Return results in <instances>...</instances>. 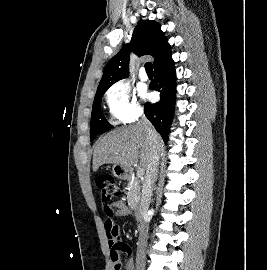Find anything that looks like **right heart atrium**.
I'll use <instances>...</instances> for the list:
<instances>
[{"label":"right heart atrium","instance_id":"1","mask_svg":"<svg viewBox=\"0 0 267 270\" xmlns=\"http://www.w3.org/2000/svg\"><path fill=\"white\" fill-rule=\"evenodd\" d=\"M105 100L109 114L115 122H133L142 114L134 90L125 81L112 84L105 93Z\"/></svg>","mask_w":267,"mask_h":270}]
</instances>
